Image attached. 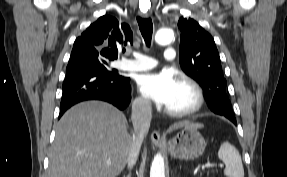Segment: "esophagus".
Returning a JSON list of instances; mask_svg holds the SVG:
<instances>
[{"label":"esophagus","instance_id":"obj_1","mask_svg":"<svg viewBox=\"0 0 287 177\" xmlns=\"http://www.w3.org/2000/svg\"><path fill=\"white\" fill-rule=\"evenodd\" d=\"M140 15L144 18H149L151 17V12H140ZM151 141L152 143H154L155 145H164L165 144V140L164 138L161 136V134L158 131H153L151 134Z\"/></svg>","mask_w":287,"mask_h":177}]
</instances>
